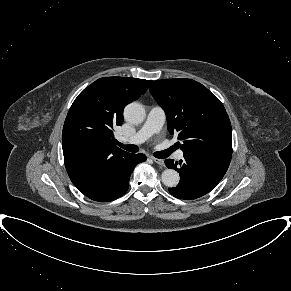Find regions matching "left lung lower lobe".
Wrapping results in <instances>:
<instances>
[{"label":"left lung lower lobe","instance_id":"obj_1","mask_svg":"<svg viewBox=\"0 0 291 291\" xmlns=\"http://www.w3.org/2000/svg\"><path fill=\"white\" fill-rule=\"evenodd\" d=\"M231 161V155L184 153V159L174 163L165 160L168 168L180 174V182L169 192L176 198L191 200L210 192L223 178Z\"/></svg>","mask_w":291,"mask_h":291}]
</instances>
